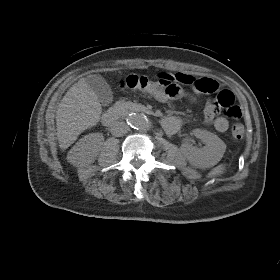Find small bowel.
Wrapping results in <instances>:
<instances>
[{
	"mask_svg": "<svg viewBox=\"0 0 280 280\" xmlns=\"http://www.w3.org/2000/svg\"><path fill=\"white\" fill-rule=\"evenodd\" d=\"M176 75L179 77L182 85L188 86L195 94L203 93L199 88H204L208 82H214L217 86H219L218 83L212 79L195 78L194 76L185 73H177ZM183 97L188 98L191 102L195 101L193 96L185 94L184 92ZM211 110L212 103L208 102L204 109L205 120L207 122H211L218 132H226L229 128L227 119L224 117H213L211 115ZM182 125L183 120L177 116H169L162 120L164 130L170 135L177 133L181 129Z\"/></svg>",
	"mask_w": 280,
	"mask_h": 280,
	"instance_id": "1",
	"label": "small bowel"
}]
</instances>
